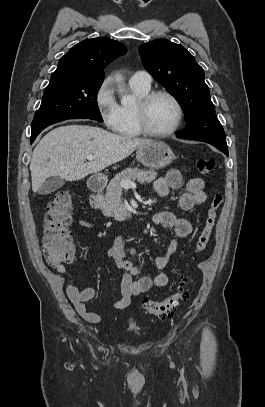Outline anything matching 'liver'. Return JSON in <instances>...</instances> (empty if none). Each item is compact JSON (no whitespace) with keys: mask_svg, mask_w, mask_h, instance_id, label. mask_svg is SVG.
Wrapping results in <instances>:
<instances>
[{"mask_svg":"<svg viewBox=\"0 0 265 407\" xmlns=\"http://www.w3.org/2000/svg\"><path fill=\"white\" fill-rule=\"evenodd\" d=\"M151 141L123 137L89 125L55 128L40 140L32 153V190L37 192L50 177L81 180L127 158ZM88 155L95 159L86 162Z\"/></svg>","mask_w":265,"mask_h":407,"instance_id":"1","label":"liver"}]
</instances>
